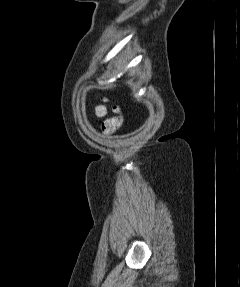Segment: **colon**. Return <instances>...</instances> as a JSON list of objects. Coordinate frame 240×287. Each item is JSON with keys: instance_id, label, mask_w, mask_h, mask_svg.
<instances>
[{"instance_id": "1", "label": "colon", "mask_w": 240, "mask_h": 287, "mask_svg": "<svg viewBox=\"0 0 240 287\" xmlns=\"http://www.w3.org/2000/svg\"><path fill=\"white\" fill-rule=\"evenodd\" d=\"M112 110H113L114 116L109 119H106L102 123V130L105 133H112L116 131L123 122V114H122L121 108L118 105H114Z\"/></svg>"}]
</instances>
